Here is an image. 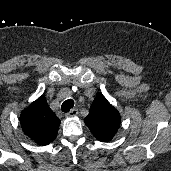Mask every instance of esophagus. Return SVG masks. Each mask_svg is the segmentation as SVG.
<instances>
[{
    "mask_svg": "<svg viewBox=\"0 0 171 171\" xmlns=\"http://www.w3.org/2000/svg\"><path fill=\"white\" fill-rule=\"evenodd\" d=\"M77 115H78V110H77V109H72V110H70V112L67 113L65 116H66V117H75V116H77Z\"/></svg>",
    "mask_w": 171,
    "mask_h": 171,
    "instance_id": "1",
    "label": "esophagus"
}]
</instances>
